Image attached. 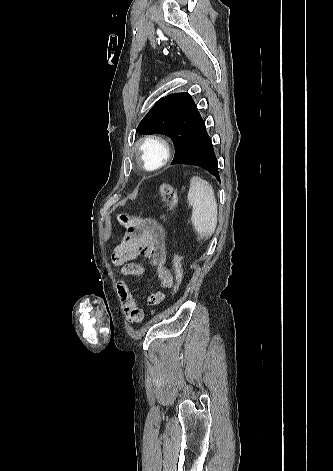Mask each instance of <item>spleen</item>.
<instances>
[{
    "label": "spleen",
    "instance_id": "spleen-1",
    "mask_svg": "<svg viewBox=\"0 0 333 471\" xmlns=\"http://www.w3.org/2000/svg\"><path fill=\"white\" fill-rule=\"evenodd\" d=\"M192 210V224L202 238H210L217 226V203L212 186L194 176L190 181V189L187 195Z\"/></svg>",
    "mask_w": 333,
    "mask_h": 471
}]
</instances>
